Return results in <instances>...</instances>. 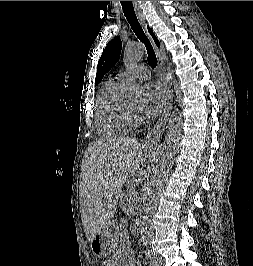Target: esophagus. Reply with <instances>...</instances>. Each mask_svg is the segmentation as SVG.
Returning <instances> with one entry per match:
<instances>
[{
	"mask_svg": "<svg viewBox=\"0 0 253 266\" xmlns=\"http://www.w3.org/2000/svg\"><path fill=\"white\" fill-rule=\"evenodd\" d=\"M132 3H133L136 14H137L141 24L145 28L148 36H150L148 31H147V24H146L144 14L142 12V9H141L138 1H132ZM151 41L154 45L156 53L158 54V52H159L158 48L155 46L152 39H151ZM158 70H159L160 77H161V80L163 82L164 88L166 90L167 100H166V105H165V108H164L162 115L160 116V118L158 119V121L156 122V124L154 125L152 130L148 133V135L145 138V143H147V144L156 143L157 141L160 140V137L164 132V129H165V126L167 124L169 115H170L171 110H172V105H173V96H174L173 90L171 88L170 82L166 76V73L163 69L162 62L160 60L158 61Z\"/></svg>",
	"mask_w": 253,
	"mask_h": 266,
	"instance_id": "esophagus-1",
	"label": "esophagus"
}]
</instances>
